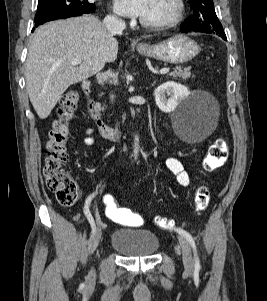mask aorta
Instances as JSON below:
<instances>
[{
    "label": "aorta",
    "mask_w": 267,
    "mask_h": 301,
    "mask_svg": "<svg viewBox=\"0 0 267 301\" xmlns=\"http://www.w3.org/2000/svg\"><path fill=\"white\" fill-rule=\"evenodd\" d=\"M139 152V137L136 135L134 138V149H133V155L135 158H137Z\"/></svg>",
    "instance_id": "obj_1"
}]
</instances>
